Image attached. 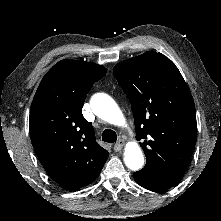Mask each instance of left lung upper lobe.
<instances>
[{
    "mask_svg": "<svg viewBox=\"0 0 221 221\" xmlns=\"http://www.w3.org/2000/svg\"><path fill=\"white\" fill-rule=\"evenodd\" d=\"M128 96L136 139L146 156L141 175L182 177L196 143V112L191 92L175 64L146 52L114 69Z\"/></svg>",
    "mask_w": 221,
    "mask_h": 221,
    "instance_id": "1",
    "label": "left lung upper lobe"
}]
</instances>
